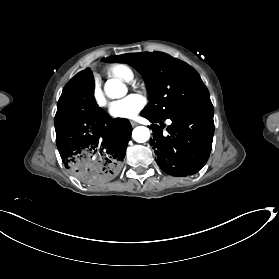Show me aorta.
Listing matches in <instances>:
<instances>
[{"instance_id": "1", "label": "aorta", "mask_w": 279, "mask_h": 279, "mask_svg": "<svg viewBox=\"0 0 279 279\" xmlns=\"http://www.w3.org/2000/svg\"><path fill=\"white\" fill-rule=\"evenodd\" d=\"M104 91L109 98H121L126 95L127 87L118 79H109L104 85ZM132 137L136 142L144 143L150 138V131L147 127L138 126L133 129Z\"/></svg>"}]
</instances>
